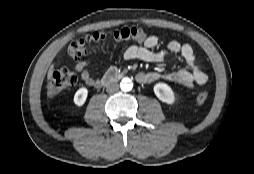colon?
I'll return each mask as SVG.
<instances>
[{"label": "colon", "instance_id": "1", "mask_svg": "<svg viewBox=\"0 0 254 174\" xmlns=\"http://www.w3.org/2000/svg\"><path fill=\"white\" fill-rule=\"evenodd\" d=\"M148 38L147 32L138 27H127L114 31H97L86 35L83 38L77 39L70 43L68 47V54L72 58H80L87 53V48L90 45H98L105 42L115 43H142ZM77 82V75L66 68L55 71L48 82L47 94L51 98H55L63 93L68 88L75 85ZM208 98V92L202 91L197 97L196 101L199 104L204 103Z\"/></svg>", "mask_w": 254, "mask_h": 174}]
</instances>
